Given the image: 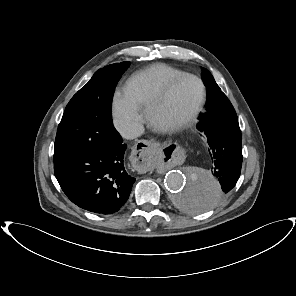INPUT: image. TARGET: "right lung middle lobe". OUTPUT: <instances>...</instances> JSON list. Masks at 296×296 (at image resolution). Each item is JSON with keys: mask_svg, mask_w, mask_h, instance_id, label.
Here are the masks:
<instances>
[{"mask_svg": "<svg viewBox=\"0 0 296 296\" xmlns=\"http://www.w3.org/2000/svg\"><path fill=\"white\" fill-rule=\"evenodd\" d=\"M129 65L126 61L99 69L72 97L58 126L54 158L121 142L110 107L115 87Z\"/></svg>", "mask_w": 296, "mask_h": 296, "instance_id": "right-lung-middle-lobe-1", "label": "right lung middle lobe"}]
</instances>
